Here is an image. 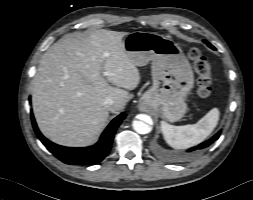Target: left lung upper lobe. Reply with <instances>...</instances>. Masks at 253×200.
Here are the masks:
<instances>
[{"instance_id": "5c2ea615", "label": "left lung upper lobe", "mask_w": 253, "mask_h": 200, "mask_svg": "<svg viewBox=\"0 0 253 200\" xmlns=\"http://www.w3.org/2000/svg\"><path fill=\"white\" fill-rule=\"evenodd\" d=\"M204 42H205L210 48H212V49L215 50V47H214L213 45H211L210 43H208L206 40H204Z\"/></svg>"}]
</instances>
